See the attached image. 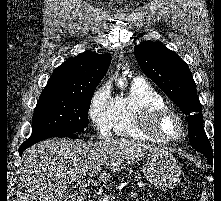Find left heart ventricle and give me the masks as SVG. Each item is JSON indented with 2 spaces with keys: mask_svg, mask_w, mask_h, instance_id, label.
Wrapping results in <instances>:
<instances>
[{
  "mask_svg": "<svg viewBox=\"0 0 221 201\" xmlns=\"http://www.w3.org/2000/svg\"><path fill=\"white\" fill-rule=\"evenodd\" d=\"M161 131L168 136H175L178 133V125L172 118L165 119L161 126Z\"/></svg>",
  "mask_w": 221,
  "mask_h": 201,
  "instance_id": "1",
  "label": "left heart ventricle"
}]
</instances>
